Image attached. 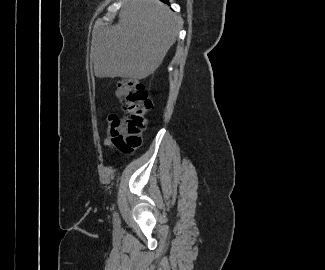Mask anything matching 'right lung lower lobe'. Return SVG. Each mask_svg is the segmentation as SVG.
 <instances>
[{"label": "right lung lower lobe", "mask_w": 325, "mask_h": 270, "mask_svg": "<svg viewBox=\"0 0 325 270\" xmlns=\"http://www.w3.org/2000/svg\"><path fill=\"white\" fill-rule=\"evenodd\" d=\"M161 1H163V2H167V0H161Z\"/></svg>", "instance_id": "1"}]
</instances>
